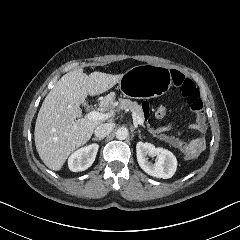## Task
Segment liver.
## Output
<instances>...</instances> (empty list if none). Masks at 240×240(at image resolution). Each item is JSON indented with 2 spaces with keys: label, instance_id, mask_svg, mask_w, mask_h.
<instances>
[{
  "label": "liver",
  "instance_id": "1",
  "mask_svg": "<svg viewBox=\"0 0 240 240\" xmlns=\"http://www.w3.org/2000/svg\"><path fill=\"white\" fill-rule=\"evenodd\" d=\"M123 74L112 75L94 71L86 75L82 68L63 75L47 94L35 124V145L41 160L51 170L62 168L72 151L84 145L101 121L82 117L80 105L88 95H100L114 87ZM100 107L111 108L105 97Z\"/></svg>",
  "mask_w": 240,
  "mask_h": 240
}]
</instances>
